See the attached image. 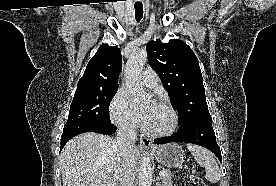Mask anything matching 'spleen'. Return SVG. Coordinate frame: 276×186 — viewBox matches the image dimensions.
Masks as SVG:
<instances>
[{
  "mask_svg": "<svg viewBox=\"0 0 276 186\" xmlns=\"http://www.w3.org/2000/svg\"><path fill=\"white\" fill-rule=\"evenodd\" d=\"M187 148L194 156L195 161L201 167L205 168L206 180L211 183H217L220 180L221 174L218 164L215 158L213 157L212 153L207 149L197 145L187 144Z\"/></svg>",
  "mask_w": 276,
  "mask_h": 186,
  "instance_id": "obj_1",
  "label": "spleen"
}]
</instances>
